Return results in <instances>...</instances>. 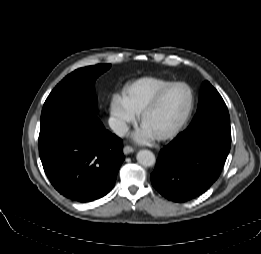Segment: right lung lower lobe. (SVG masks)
<instances>
[{"label":"right lung lower lobe","instance_id":"obj_1","mask_svg":"<svg viewBox=\"0 0 261 254\" xmlns=\"http://www.w3.org/2000/svg\"><path fill=\"white\" fill-rule=\"evenodd\" d=\"M39 155L55 189L80 202L106 195L125 159L122 140L77 101L43 106Z\"/></svg>","mask_w":261,"mask_h":254}]
</instances>
